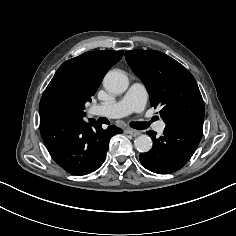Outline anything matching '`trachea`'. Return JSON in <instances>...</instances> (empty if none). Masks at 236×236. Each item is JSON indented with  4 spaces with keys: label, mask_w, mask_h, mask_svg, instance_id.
<instances>
[{
    "label": "trachea",
    "mask_w": 236,
    "mask_h": 236,
    "mask_svg": "<svg viewBox=\"0 0 236 236\" xmlns=\"http://www.w3.org/2000/svg\"><path fill=\"white\" fill-rule=\"evenodd\" d=\"M101 123L109 124V121L106 118H102ZM150 125V122H131L130 126L132 128L143 130L148 128Z\"/></svg>",
    "instance_id": "obj_1"
}]
</instances>
